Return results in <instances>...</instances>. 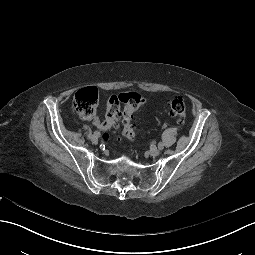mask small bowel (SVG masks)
I'll return each mask as SVG.
<instances>
[{
    "label": "small bowel",
    "mask_w": 255,
    "mask_h": 255,
    "mask_svg": "<svg viewBox=\"0 0 255 255\" xmlns=\"http://www.w3.org/2000/svg\"><path fill=\"white\" fill-rule=\"evenodd\" d=\"M93 124H94L95 126H99V125H100V122H99V120H98L97 118H95V119L93 120Z\"/></svg>",
    "instance_id": "c3829d8e"
}]
</instances>
